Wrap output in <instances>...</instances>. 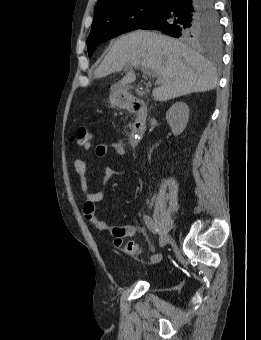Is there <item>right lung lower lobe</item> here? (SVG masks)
<instances>
[{
	"label": "right lung lower lobe",
	"mask_w": 261,
	"mask_h": 340,
	"mask_svg": "<svg viewBox=\"0 0 261 340\" xmlns=\"http://www.w3.org/2000/svg\"><path fill=\"white\" fill-rule=\"evenodd\" d=\"M214 12L213 0H163L153 18L138 29L159 30L178 38L189 17Z\"/></svg>",
	"instance_id": "98d812e1"
}]
</instances>
